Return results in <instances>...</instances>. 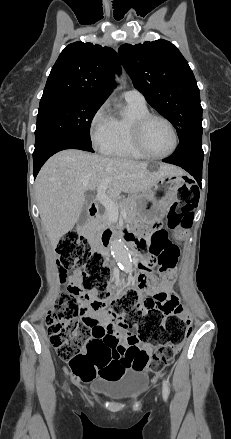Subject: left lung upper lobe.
<instances>
[{"label": "left lung upper lobe", "instance_id": "1", "mask_svg": "<svg viewBox=\"0 0 231 439\" xmlns=\"http://www.w3.org/2000/svg\"><path fill=\"white\" fill-rule=\"evenodd\" d=\"M118 54L135 88L172 123L179 140L202 129L200 92L188 62L174 44L163 39L124 44Z\"/></svg>", "mask_w": 231, "mask_h": 439}]
</instances>
